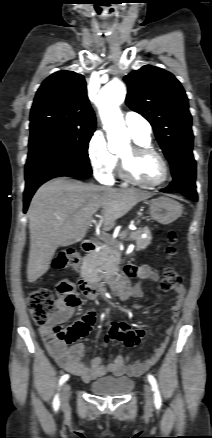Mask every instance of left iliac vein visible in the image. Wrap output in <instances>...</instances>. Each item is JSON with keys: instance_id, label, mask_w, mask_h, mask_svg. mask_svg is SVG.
<instances>
[{"instance_id": "left-iliac-vein-1", "label": "left iliac vein", "mask_w": 212, "mask_h": 438, "mask_svg": "<svg viewBox=\"0 0 212 438\" xmlns=\"http://www.w3.org/2000/svg\"><path fill=\"white\" fill-rule=\"evenodd\" d=\"M144 392H145L146 406L148 408H152V406H153V393H152V388L149 384L144 385Z\"/></svg>"}]
</instances>
